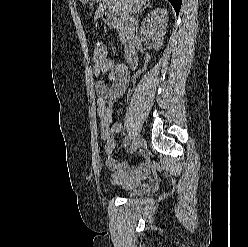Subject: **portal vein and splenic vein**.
Segmentation results:
<instances>
[{"label":"portal vein and splenic vein","instance_id":"obj_1","mask_svg":"<svg viewBox=\"0 0 248 247\" xmlns=\"http://www.w3.org/2000/svg\"><path fill=\"white\" fill-rule=\"evenodd\" d=\"M97 2H99V0H97ZM113 12H116L117 10L115 8L112 9Z\"/></svg>","mask_w":248,"mask_h":247}]
</instances>
